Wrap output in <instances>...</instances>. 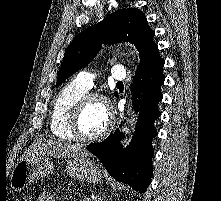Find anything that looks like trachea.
Here are the masks:
<instances>
[{
    "mask_svg": "<svg viewBox=\"0 0 221 201\" xmlns=\"http://www.w3.org/2000/svg\"><path fill=\"white\" fill-rule=\"evenodd\" d=\"M123 83L122 82H117V85H122Z\"/></svg>",
    "mask_w": 221,
    "mask_h": 201,
    "instance_id": "obj_1",
    "label": "trachea"
}]
</instances>
